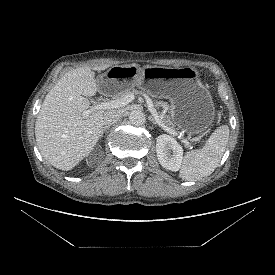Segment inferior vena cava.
<instances>
[{"label":"inferior vena cava","instance_id":"1","mask_svg":"<svg viewBox=\"0 0 275 275\" xmlns=\"http://www.w3.org/2000/svg\"><path fill=\"white\" fill-rule=\"evenodd\" d=\"M122 117V112L120 110H107L104 113V124L105 125H113Z\"/></svg>","mask_w":275,"mask_h":275}]
</instances>
